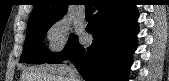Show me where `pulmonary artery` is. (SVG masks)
Masks as SVG:
<instances>
[{
    "instance_id": "pulmonary-artery-1",
    "label": "pulmonary artery",
    "mask_w": 169,
    "mask_h": 81,
    "mask_svg": "<svg viewBox=\"0 0 169 81\" xmlns=\"http://www.w3.org/2000/svg\"><path fill=\"white\" fill-rule=\"evenodd\" d=\"M78 15L80 16V17H84L85 16V10L84 9H80V10H78Z\"/></svg>"
}]
</instances>
